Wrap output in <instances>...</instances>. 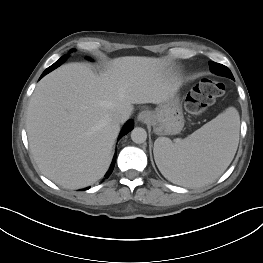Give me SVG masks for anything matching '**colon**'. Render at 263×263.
Segmentation results:
<instances>
[{"label": "colon", "mask_w": 263, "mask_h": 263, "mask_svg": "<svg viewBox=\"0 0 263 263\" xmlns=\"http://www.w3.org/2000/svg\"><path fill=\"white\" fill-rule=\"evenodd\" d=\"M225 92L224 85L216 80H201L187 95L185 108L193 115L206 111Z\"/></svg>", "instance_id": "1"}]
</instances>
